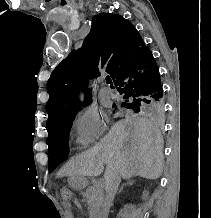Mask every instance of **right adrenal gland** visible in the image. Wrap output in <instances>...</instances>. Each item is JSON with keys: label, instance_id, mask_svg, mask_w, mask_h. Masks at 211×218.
<instances>
[{"label": "right adrenal gland", "instance_id": "1", "mask_svg": "<svg viewBox=\"0 0 211 218\" xmlns=\"http://www.w3.org/2000/svg\"><path fill=\"white\" fill-rule=\"evenodd\" d=\"M127 184H130V180H126L125 184H122L120 190H118V194H121V192H122L124 186H127Z\"/></svg>", "mask_w": 211, "mask_h": 218}]
</instances>
